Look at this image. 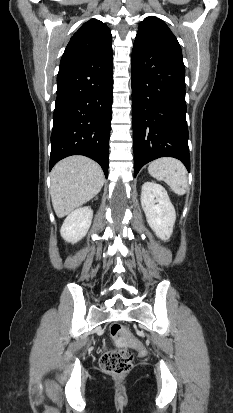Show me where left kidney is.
<instances>
[{
    "instance_id": "left-kidney-1",
    "label": "left kidney",
    "mask_w": 233,
    "mask_h": 413,
    "mask_svg": "<svg viewBox=\"0 0 233 413\" xmlns=\"http://www.w3.org/2000/svg\"><path fill=\"white\" fill-rule=\"evenodd\" d=\"M141 205L151 229L161 240L167 241L173 232L176 212L167 191L154 182H145L141 190Z\"/></svg>"
}]
</instances>
